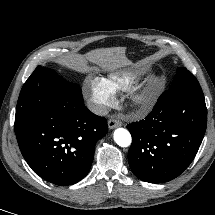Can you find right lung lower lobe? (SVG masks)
<instances>
[{
  "label": "right lung lower lobe",
  "mask_w": 215,
  "mask_h": 215,
  "mask_svg": "<svg viewBox=\"0 0 215 215\" xmlns=\"http://www.w3.org/2000/svg\"><path fill=\"white\" fill-rule=\"evenodd\" d=\"M107 131L106 119L85 107L81 89L74 84L49 97L15 134L32 170L48 182L67 186L88 174L95 144Z\"/></svg>",
  "instance_id": "right-lung-lower-lobe-1"
}]
</instances>
